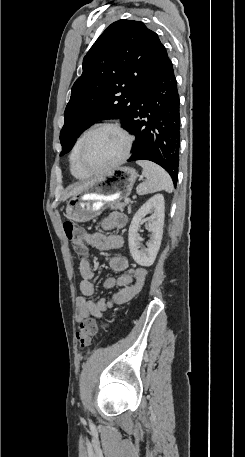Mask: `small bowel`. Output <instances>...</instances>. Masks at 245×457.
<instances>
[{"instance_id":"1","label":"small bowel","mask_w":245,"mask_h":457,"mask_svg":"<svg viewBox=\"0 0 245 457\" xmlns=\"http://www.w3.org/2000/svg\"><path fill=\"white\" fill-rule=\"evenodd\" d=\"M127 223V216L121 212H111L101 221L104 232L84 233L87 244L99 250L117 249L123 245V238L118 234L109 232L122 229ZM109 267L116 272H123L117 278H109L105 282L106 288L116 287L109 296L99 299L97 302L88 300L95 292L93 283L94 272L90 262L82 259L79 262L81 281L79 289L81 296L76 300V320L81 322L89 317L101 318L103 313L110 308L129 301L142 288L147 277V271L143 267H129L127 258L114 256L109 259Z\"/></svg>"}]
</instances>
